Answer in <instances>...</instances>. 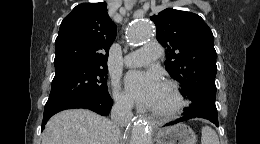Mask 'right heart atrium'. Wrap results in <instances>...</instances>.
Instances as JSON below:
<instances>
[{
	"label": "right heart atrium",
	"instance_id": "1",
	"mask_svg": "<svg viewBox=\"0 0 260 144\" xmlns=\"http://www.w3.org/2000/svg\"><path fill=\"white\" fill-rule=\"evenodd\" d=\"M113 98L115 103L124 109H129L132 106V102L128 95L121 91L117 81L113 82Z\"/></svg>",
	"mask_w": 260,
	"mask_h": 144
}]
</instances>
